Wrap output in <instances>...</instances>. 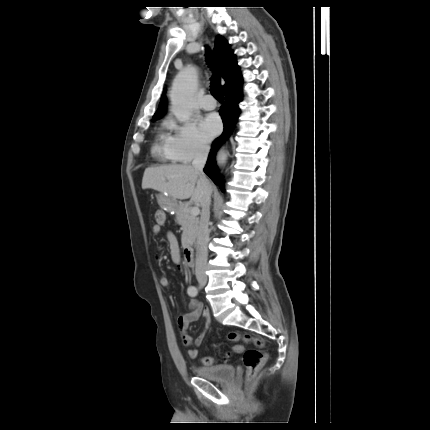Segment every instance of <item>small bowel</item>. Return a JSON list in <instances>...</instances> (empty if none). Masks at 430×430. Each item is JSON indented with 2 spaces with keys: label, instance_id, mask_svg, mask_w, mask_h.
I'll return each mask as SVG.
<instances>
[{
  "label": "small bowel",
  "instance_id": "c3829d8e",
  "mask_svg": "<svg viewBox=\"0 0 430 430\" xmlns=\"http://www.w3.org/2000/svg\"><path fill=\"white\" fill-rule=\"evenodd\" d=\"M152 232L154 235H159L161 233V226L155 224L152 227ZM167 240H168L169 252L172 260L178 265L179 270L182 272L184 277L188 278L189 271L188 269L184 268L180 262L179 245L175 235L169 232L167 234ZM161 252H162L161 249L157 251V254H156L157 259H160ZM159 282L162 287H168L170 285V281L166 276H162ZM201 315H203L204 317L205 329L197 336V338L193 342L192 337L187 333V328L192 322L197 321L201 317ZM177 326L180 331L182 344L188 348L187 350L188 356L192 359L196 358L199 354L198 347H200L204 342L206 332L210 327L209 314L206 310L203 309L201 302L192 300L189 303V312L178 317ZM193 343L195 345V348L192 347ZM235 348L242 350V346L240 345L235 346Z\"/></svg>",
  "mask_w": 430,
  "mask_h": 430
}]
</instances>
